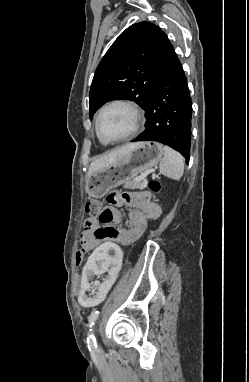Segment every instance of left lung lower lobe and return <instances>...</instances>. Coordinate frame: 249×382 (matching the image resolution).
<instances>
[{"mask_svg":"<svg viewBox=\"0 0 249 382\" xmlns=\"http://www.w3.org/2000/svg\"><path fill=\"white\" fill-rule=\"evenodd\" d=\"M192 104L183 68L173 58L146 110V129L133 141H156L190 157Z\"/></svg>","mask_w":249,"mask_h":382,"instance_id":"obj_1","label":"left lung lower lobe"}]
</instances>
